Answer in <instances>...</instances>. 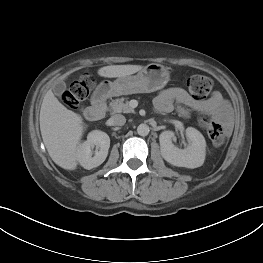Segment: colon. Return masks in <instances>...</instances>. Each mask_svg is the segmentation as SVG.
<instances>
[{
    "label": "colon",
    "mask_w": 263,
    "mask_h": 263,
    "mask_svg": "<svg viewBox=\"0 0 263 263\" xmlns=\"http://www.w3.org/2000/svg\"><path fill=\"white\" fill-rule=\"evenodd\" d=\"M187 88L192 96L198 99L206 98L212 90V80L204 75H192L187 79ZM93 80L89 75L82 76L73 82L63 95L64 103L70 108H77L85 101L92 89ZM199 123L204 128L216 146H221L225 142V134L222 126L213 118L202 116Z\"/></svg>",
    "instance_id": "5ec220e1"
}]
</instances>
